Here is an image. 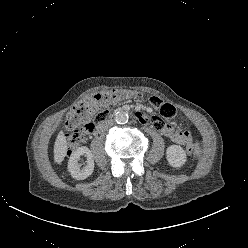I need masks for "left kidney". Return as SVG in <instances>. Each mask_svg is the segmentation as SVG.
Masks as SVG:
<instances>
[{
  "mask_svg": "<svg viewBox=\"0 0 248 248\" xmlns=\"http://www.w3.org/2000/svg\"><path fill=\"white\" fill-rule=\"evenodd\" d=\"M166 158L168 163L175 168H179L187 161V156L182 147L178 145H170L166 150Z\"/></svg>",
  "mask_w": 248,
  "mask_h": 248,
  "instance_id": "left-kidney-1",
  "label": "left kidney"
}]
</instances>
